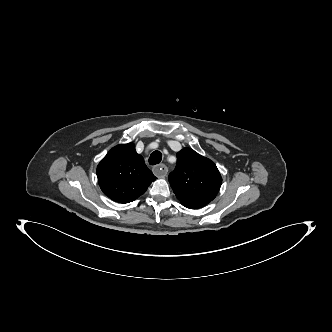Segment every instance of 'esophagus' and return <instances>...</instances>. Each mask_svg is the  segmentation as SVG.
<instances>
[{
  "label": "esophagus",
  "instance_id": "34e87169",
  "mask_svg": "<svg viewBox=\"0 0 332 332\" xmlns=\"http://www.w3.org/2000/svg\"><path fill=\"white\" fill-rule=\"evenodd\" d=\"M153 172L157 177L163 178L166 176L168 169L165 164H159L153 168Z\"/></svg>",
  "mask_w": 332,
  "mask_h": 332
}]
</instances>
